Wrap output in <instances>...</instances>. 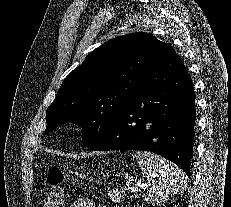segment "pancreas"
Listing matches in <instances>:
<instances>
[{"instance_id":"1","label":"pancreas","mask_w":231,"mask_h":207,"mask_svg":"<svg viewBox=\"0 0 231 207\" xmlns=\"http://www.w3.org/2000/svg\"><path fill=\"white\" fill-rule=\"evenodd\" d=\"M107 195L111 199V201L114 203L120 202L123 200V196L117 190H110Z\"/></svg>"}]
</instances>
